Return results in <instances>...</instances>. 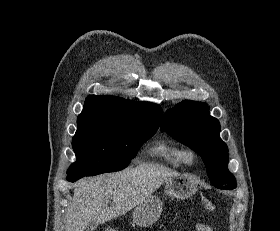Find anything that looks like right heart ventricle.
Instances as JSON below:
<instances>
[{
	"label": "right heart ventricle",
	"instance_id": "1",
	"mask_svg": "<svg viewBox=\"0 0 280 231\" xmlns=\"http://www.w3.org/2000/svg\"><path fill=\"white\" fill-rule=\"evenodd\" d=\"M184 147L164 137L155 138L147 148V154L161 160L167 166L181 168L184 163L182 153Z\"/></svg>",
	"mask_w": 280,
	"mask_h": 231
}]
</instances>
